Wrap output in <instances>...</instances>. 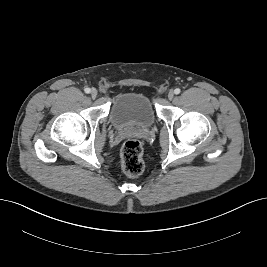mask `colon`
Masks as SVG:
<instances>
[{"mask_svg":"<svg viewBox=\"0 0 267 267\" xmlns=\"http://www.w3.org/2000/svg\"><path fill=\"white\" fill-rule=\"evenodd\" d=\"M121 157L122 169L127 176L138 177L143 173V148L139 141H126L122 147Z\"/></svg>","mask_w":267,"mask_h":267,"instance_id":"5ec220e1","label":"colon"}]
</instances>
